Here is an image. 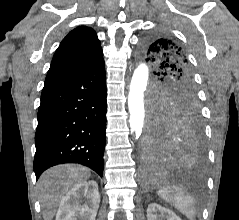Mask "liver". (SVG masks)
I'll return each instance as SVG.
<instances>
[{
    "instance_id": "liver-1",
    "label": "liver",
    "mask_w": 239,
    "mask_h": 220,
    "mask_svg": "<svg viewBox=\"0 0 239 220\" xmlns=\"http://www.w3.org/2000/svg\"><path fill=\"white\" fill-rule=\"evenodd\" d=\"M89 177L90 171L79 165H59L45 171L38 181L44 220H52L63 197Z\"/></svg>"
}]
</instances>
